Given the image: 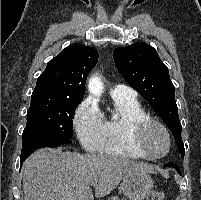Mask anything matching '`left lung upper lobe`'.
Segmentation results:
<instances>
[{
	"instance_id": "5c2ea615",
	"label": "left lung upper lobe",
	"mask_w": 201,
	"mask_h": 200,
	"mask_svg": "<svg viewBox=\"0 0 201 200\" xmlns=\"http://www.w3.org/2000/svg\"><path fill=\"white\" fill-rule=\"evenodd\" d=\"M113 58L123 79L148 101L169 127L179 153L184 158L185 149L175 101V87L170 80L169 70L157 51L144 42H138L115 49Z\"/></svg>"
}]
</instances>
